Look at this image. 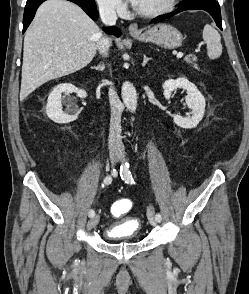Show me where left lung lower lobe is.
<instances>
[{
  "mask_svg": "<svg viewBox=\"0 0 249 294\" xmlns=\"http://www.w3.org/2000/svg\"><path fill=\"white\" fill-rule=\"evenodd\" d=\"M198 9L207 11L214 18L217 26L222 30L220 6L216 0H184L180 3L178 9L167 15L157 17L152 22L157 23L185 10Z\"/></svg>",
  "mask_w": 249,
  "mask_h": 294,
  "instance_id": "obj_1",
  "label": "left lung lower lobe"
}]
</instances>
